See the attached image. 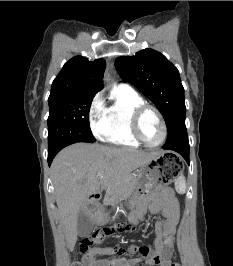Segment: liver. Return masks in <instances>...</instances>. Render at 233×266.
<instances>
[{
	"label": "liver",
	"mask_w": 233,
	"mask_h": 266,
	"mask_svg": "<svg viewBox=\"0 0 233 266\" xmlns=\"http://www.w3.org/2000/svg\"><path fill=\"white\" fill-rule=\"evenodd\" d=\"M158 155L159 152L87 143L73 144L57 154L51 174L60 224L70 250L77 241L78 214L89 196L100 188L119 185L132 171Z\"/></svg>",
	"instance_id": "liver-1"
}]
</instances>
